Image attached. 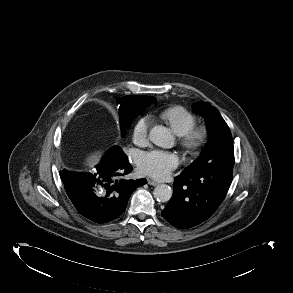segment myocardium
<instances>
[{"label": "myocardium", "instance_id": "1", "mask_svg": "<svg viewBox=\"0 0 293 293\" xmlns=\"http://www.w3.org/2000/svg\"><path fill=\"white\" fill-rule=\"evenodd\" d=\"M208 130L204 126H194L186 134L181 136V145L188 151L199 150L207 141Z\"/></svg>", "mask_w": 293, "mask_h": 293}]
</instances>
